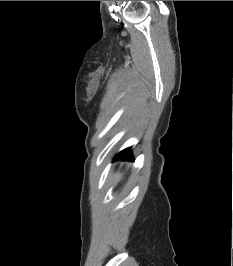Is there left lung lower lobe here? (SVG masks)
I'll return each mask as SVG.
<instances>
[{"label":"left lung lower lobe","mask_w":233,"mask_h":266,"mask_svg":"<svg viewBox=\"0 0 233 266\" xmlns=\"http://www.w3.org/2000/svg\"><path fill=\"white\" fill-rule=\"evenodd\" d=\"M132 152L131 148L124 149L123 151L119 152L113 161L116 160H132Z\"/></svg>","instance_id":"left-lung-lower-lobe-1"}]
</instances>
